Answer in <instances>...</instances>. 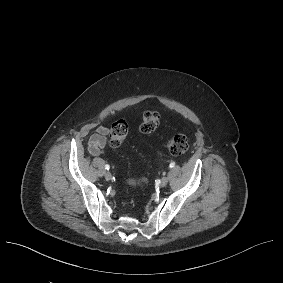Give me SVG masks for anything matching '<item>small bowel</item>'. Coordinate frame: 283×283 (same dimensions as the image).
Returning <instances> with one entry per match:
<instances>
[{"label":"small bowel","mask_w":283,"mask_h":283,"mask_svg":"<svg viewBox=\"0 0 283 283\" xmlns=\"http://www.w3.org/2000/svg\"><path fill=\"white\" fill-rule=\"evenodd\" d=\"M109 129L103 125L97 128V132L93 134L89 140L88 148L92 156H98L103 149L107 147V135Z\"/></svg>","instance_id":"c3829d8e"}]
</instances>
